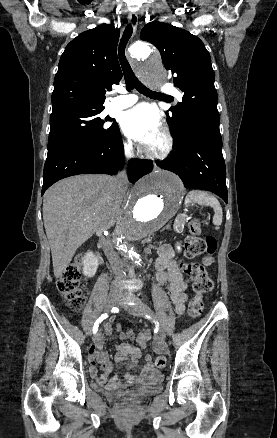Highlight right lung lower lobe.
<instances>
[{"instance_id":"obj_1","label":"right lung lower lobe","mask_w":277,"mask_h":438,"mask_svg":"<svg viewBox=\"0 0 277 438\" xmlns=\"http://www.w3.org/2000/svg\"><path fill=\"white\" fill-rule=\"evenodd\" d=\"M123 152V142L118 131L100 143L71 146L47 155L42 195L53 183L65 177L86 173L115 174L123 166ZM151 170L150 160H132L128 169L130 182H136Z\"/></svg>"}]
</instances>
